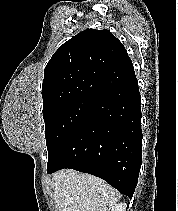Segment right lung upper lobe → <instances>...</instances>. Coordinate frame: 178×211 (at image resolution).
Segmentation results:
<instances>
[{
    "label": "right lung upper lobe",
    "mask_w": 178,
    "mask_h": 211,
    "mask_svg": "<svg viewBox=\"0 0 178 211\" xmlns=\"http://www.w3.org/2000/svg\"><path fill=\"white\" fill-rule=\"evenodd\" d=\"M134 78L131 59L109 30H84L65 42L46 65L43 109L76 98L98 100Z\"/></svg>",
    "instance_id": "obj_1"
}]
</instances>
